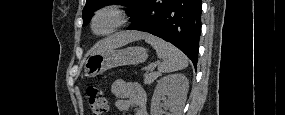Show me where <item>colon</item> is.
<instances>
[{"label":"colon","mask_w":285,"mask_h":115,"mask_svg":"<svg viewBox=\"0 0 285 115\" xmlns=\"http://www.w3.org/2000/svg\"><path fill=\"white\" fill-rule=\"evenodd\" d=\"M86 94L91 114L103 115L107 110V101L100 87L89 85Z\"/></svg>","instance_id":"colon-1"}]
</instances>
